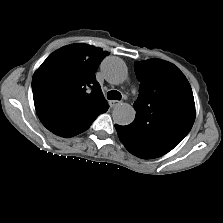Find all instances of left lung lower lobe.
<instances>
[{"label":"left lung lower lobe","instance_id":"obj_1","mask_svg":"<svg viewBox=\"0 0 223 223\" xmlns=\"http://www.w3.org/2000/svg\"><path fill=\"white\" fill-rule=\"evenodd\" d=\"M116 129H117V132H118V135H119V138L121 140V142L124 144V146L126 147V149L132 153L133 155L139 157V158H143V159H152V158H157V157H160L162 155L158 154V153H154L152 151H149L147 149H144V148H141V147H136V146H132V145H129L127 142H126V139L125 137L122 135L121 133V126L119 125H115Z\"/></svg>","mask_w":223,"mask_h":223}]
</instances>
